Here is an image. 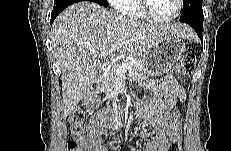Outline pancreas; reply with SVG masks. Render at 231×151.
I'll return each mask as SVG.
<instances>
[{
  "instance_id": "1",
  "label": "pancreas",
  "mask_w": 231,
  "mask_h": 151,
  "mask_svg": "<svg viewBox=\"0 0 231 151\" xmlns=\"http://www.w3.org/2000/svg\"><path fill=\"white\" fill-rule=\"evenodd\" d=\"M126 61V62H130ZM134 66L128 70V78L132 80L144 79L148 76V71L143 66L142 60L135 59ZM125 62V63H126ZM126 80V75L117 74L114 69L107 72L106 76L103 78L102 90L106 94V98H114L120 89L124 87V82Z\"/></svg>"
}]
</instances>
